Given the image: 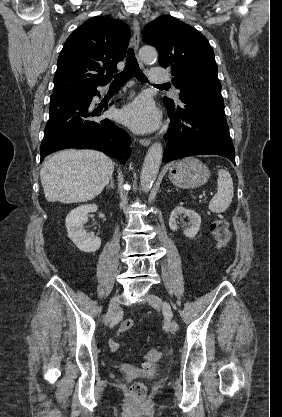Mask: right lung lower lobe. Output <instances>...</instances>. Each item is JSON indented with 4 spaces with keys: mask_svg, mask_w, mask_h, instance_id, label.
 Segmentation results:
<instances>
[{
    "mask_svg": "<svg viewBox=\"0 0 282 417\" xmlns=\"http://www.w3.org/2000/svg\"><path fill=\"white\" fill-rule=\"evenodd\" d=\"M95 95L100 96L93 88L51 101L40 147L41 162L58 150L88 148L103 151L125 164L131 151L130 137L109 119L99 118L102 108L94 109Z\"/></svg>",
    "mask_w": 282,
    "mask_h": 417,
    "instance_id": "obj_1",
    "label": "right lung lower lobe"
}]
</instances>
